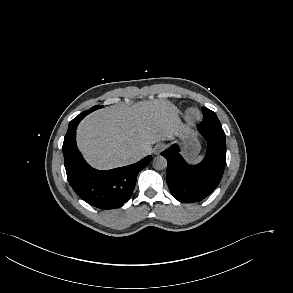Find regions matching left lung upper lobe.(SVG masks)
Returning a JSON list of instances; mask_svg holds the SVG:
<instances>
[{
  "mask_svg": "<svg viewBox=\"0 0 293 293\" xmlns=\"http://www.w3.org/2000/svg\"><path fill=\"white\" fill-rule=\"evenodd\" d=\"M203 121L201 123L208 125L215 132L222 130L220 121L216 114L208 108L202 107Z\"/></svg>",
  "mask_w": 293,
  "mask_h": 293,
  "instance_id": "5c2ea615",
  "label": "left lung upper lobe"
}]
</instances>
